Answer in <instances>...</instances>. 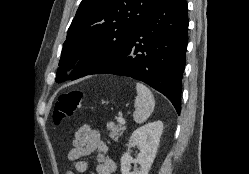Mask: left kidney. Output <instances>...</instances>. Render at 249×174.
Returning <instances> with one entry per match:
<instances>
[{"label": "left kidney", "mask_w": 249, "mask_h": 174, "mask_svg": "<svg viewBox=\"0 0 249 174\" xmlns=\"http://www.w3.org/2000/svg\"><path fill=\"white\" fill-rule=\"evenodd\" d=\"M162 131V121H155L139 127L132 133L128 143V151L121 157L122 174H148L157 152ZM135 146L138 147L140 153L136 159H133L129 149ZM131 163L139 164L140 168L131 172Z\"/></svg>", "instance_id": "left-kidney-1"}]
</instances>
